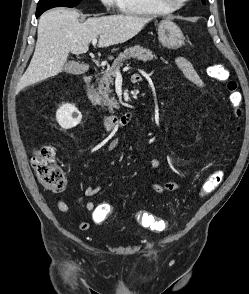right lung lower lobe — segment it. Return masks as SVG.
<instances>
[{
  "label": "right lung lower lobe",
  "instance_id": "right-lung-lower-lobe-1",
  "mask_svg": "<svg viewBox=\"0 0 249 294\" xmlns=\"http://www.w3.org/2000/svg\"><path fill=\"white\" fill-rule=\"evenodd\" d=\"M43 12H36V18H38Z\"/></svg>",
  "mask_w": 249,
  "mask_h": 294
}]
</instances>
